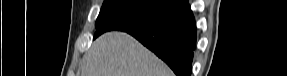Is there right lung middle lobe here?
Segmentation results:
<instances>
[{
    "label": "right lung middle lobe",
    "instance_id": "obj_1",
    "mask_svg": "<svg viewBox=\"0 0 287 76\" xmlns=\"http://www.w3.org/2000/svg\"><path fill=\"white\" fill-rule=\"evenodd\" d=\"M174 0H105L94 38L111 30H140L175 6Z\"/></svg>",
    "mask_w": 287,
    "mask_h": 76
}]
</instances>
